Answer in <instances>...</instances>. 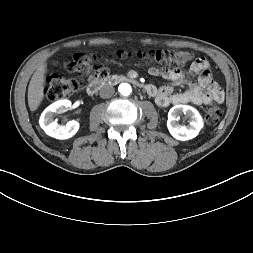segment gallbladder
<instances>
[{"label": "gallbladder", "instance_id": "bac80fb5", "mask_svg": "<svg viewBox=\"0 0 253 253\" xmlns=\"http://www.w3.org/2000/svg\"><path fill=\"white\" fill-rule=\"evenodd\" d=\"M54 64H55V65H57V64H58V62H54Z\"/></svg>", "mask_w": 253, "mask_h": 253}]
</instances>
